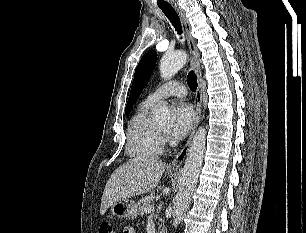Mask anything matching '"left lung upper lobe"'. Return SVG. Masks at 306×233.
Instances as JSON below:
<instances>
[{"label": "left lung upper lobe", "mask_w": 306, "mask_h": 233, "mask_svg": "<svg viewBox=\"0 0 306 233\" xmlns=\"http://www.w3.org/2000/svg\"><path fill=\"white\" fill-rule=\"evenodd\" d=\"M156 60L157 53L155 51H149L142 57L139 64L137 65L130 96L125 108L126 115L129 114L140 93L147 84L151 73L155 67Z\"/></svg>", "instance_id": "left-lung-upper-lobe-1"}]
</instances>
